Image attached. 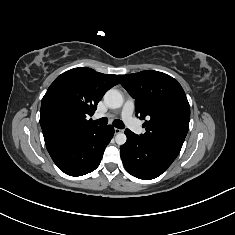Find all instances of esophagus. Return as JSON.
<instances>
[{
    "label": "esophagus",
    "instance_id": "34e87169",
    "mask_svg": "<svg viewBox=\"0 0 235 235\" xmlns=\"http://www.w3.org/2000/svg\"><path fill=\"white\" fill-rule=\"evenodd\" d=\"M114 132H115V134H118V133L123 132V130L119 129V128H114Z\"/></svg>",
    "mask_w": 235,
    "mask_h": 235
}]
</instances>
